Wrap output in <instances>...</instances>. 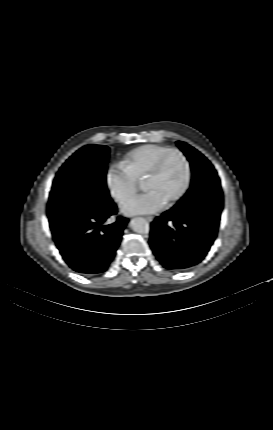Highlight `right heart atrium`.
Here are the masks:
<instances>
[{
	"instance_id": "d8ad5b80",
	"label": "right heart atrium",
	"mask_w": 273,
	"mask_h": 430,
	"mask_svg": "<svg viewBox=\"0 0 273 430\" xmlns=\"http://www.w3.org/2000/svg\"><path fill=\"white\" fill-rule=\"evenodd\" d=\"M110 195L119 204H124L138 190L139 182L122 163L109 166L105 175Z\"/></svg>"
}]
</instances>
